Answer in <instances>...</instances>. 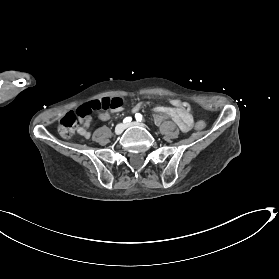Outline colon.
Here are the masks:
<instances>
[{
	"instance_id": "1",
	"label": "colon",
	"mask_w": 279,
	"mask_h": 279,
	"mask_svg": "<svg viewBox=\"0 0 279 279\" xmlns=\"http://www.w3.org/2000/svg\"><path fill=\"white\" fill-rule=\"evenodd\" d=\"M181 106L190 114L197 111V106L194 102L179 100ZM123 106V100L119 97L103 98L93 100L78 106L74 111L66 113L59 121V132L64 138H71L75 134L81 119L88 117L93 111L97 110H116ZM206 123L203 120H198L195 123L197 130H203Z\"/></svg>"
}]
</instances>
